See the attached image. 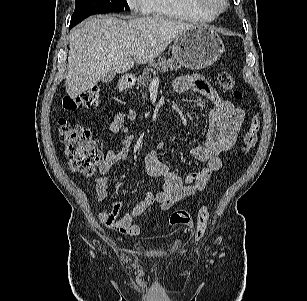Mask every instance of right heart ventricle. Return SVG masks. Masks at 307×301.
<instances>
[{
	"label": "right heart ventricle",
	"instance_id": "right-heart-ventricle-1",
	"mask_svg": "<svg viewBox=\"0 0 307 301\" xmlns=\"http://www.w3.org/2000/svg\"><path fill=\"white\" fill-rule=\"evenodd\" d=\"M147 14L191 23H207L216 15L195 7L189 0H149Z\"/></svg>",
	"mask_w": 307,
	"mask_h": 301
}]
</instances>
